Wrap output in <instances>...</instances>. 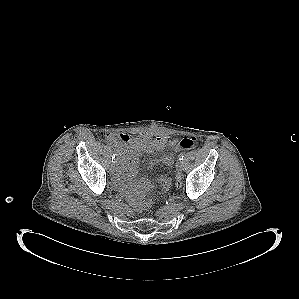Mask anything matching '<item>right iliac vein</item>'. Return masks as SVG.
<instances>
[{
	"mask_svg": "<svg viewBox=\"0 0 299 299\" xmlns=\"http://www.w3.org/2000/svg\"><path fill=\"white\" fill-rule=\"evenodd\" d=\"M110 172L111 173H114V167L111 165V167H110Z\"/></svg>",
	"mask_w": 299,
	"mask_h": 299,
	"instance_id": "right-iliac-vein-1",
	"label": "right iliac vein"
}]
</instances>
